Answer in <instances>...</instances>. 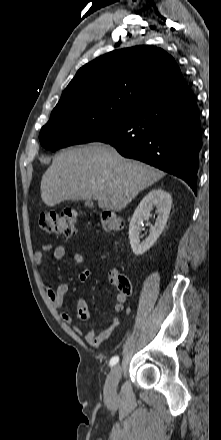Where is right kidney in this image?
Instances as JSON below:
<instances>
[{"instance_id":"right-kidney-1","label":"right kidney","mask_w":221,"mask_h":440,"mask_svg":"<svg viewBox=\"0 0 221 440\" xmlns=\"http://www.w3.org/2000/svg\"><path fill=\"white\" fill-rule=\"evenodd\" d=\"M172 205L168 192L161 188L151 190L139 203L129 225L130 245L135 255H142L152 247L162 233ZM153 207L157 208L155 225L151 227L149 236L140 241V231L144 220H148Z\"/></svg>"}]
</instances>
